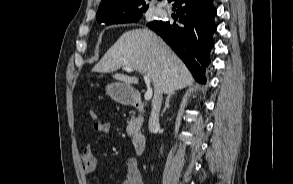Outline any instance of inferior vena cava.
Returning <instances> with one entry per match:
<instances>
[{"label":"inferior vena cava","mask_w":293,"mask_h":184,"mask_svg":"<svg viewBox=\"0 0 293 184\" xmlns=\"http://www.w3.org/2000/svg\"><path fill=\"white\" fill-rule=\"evenodd\" d=\"M162 104V94L154 98L152 102V111L149 118V131L153 132L154 129L159 125V113Z\"/></svg>","instance_id":"1"}]
</instances>
